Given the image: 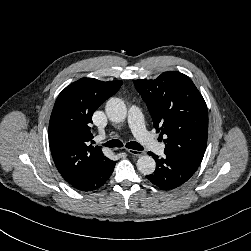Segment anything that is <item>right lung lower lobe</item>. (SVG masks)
I'll use <instances>...</instances> for the list:
<instances>
[{"mask_svg": "<svg viewBox=\"0 0 251 251\" xmlns=\"http://www.w3.org/2000/svg\"><path fill=\"white\" fill-rule=\"evenodd\" d=\"M116 161L106 160L103 163L91 168L88 173L77 183L72 185L80 191H93L101 187L111 176Z\"/></svg>", "mask_w": 251, "mask_h": 251, "instance_id": "1", "label": "right lung lower lobe"}]
</instances>
